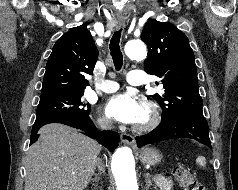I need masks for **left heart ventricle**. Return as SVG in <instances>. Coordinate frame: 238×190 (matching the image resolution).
Here are the masks:
<instances>
[{
    "label": "left heart ventricle",
    "instance_id": "left-heart-ventricle-1",
    "mask_svg": "<svg viewBox=\"0 0 238 190\" xmlns=\"http://www.w3.org/2000/svg\"><path fill=\"white\" fill-rule=\"evenodd\" d=\"M146 119V112L145 110L141 107V110H140V114H139V117L137 119V121L135 123H139V122H142Z\"/></svg>",
    "mask_w": 238,
    "mask_h": 190
}]
</instances>
